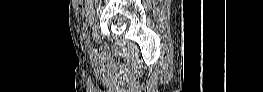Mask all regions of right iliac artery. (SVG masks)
<instances>
[{
	"mask_svg": "<svg viewBox=\"0 0 263 92\" xmlns=\"http://www.w3.org/2000/svg\"><path fill=\"white\" fill-rule=\"evenodd\" d=\"M84 40H85V46L87 49L91 48V45H90V40H89V37L87 35V33L84 34Z\"/></svg>",
	"mask_w": 263,
	"mask_h": 92,
	"instance_id": "right-iliac-artery-1",
	"label": "right iliac artery"
}]
</instances>
